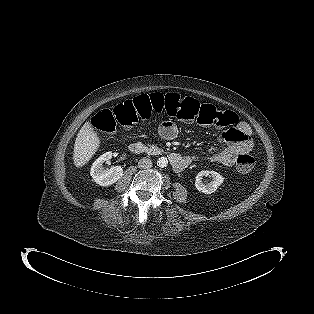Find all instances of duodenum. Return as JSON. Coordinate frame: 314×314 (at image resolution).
<instances>
[{
  "instance_id": "1",
  "label": "duodenum",
  "mask_w": 314,
  "mask_h": 314,
  "mask_svg": "<svg viewBox=\"0 0 314 314\" xmlns=\"http://www.w3.org/2000/svg\"><path fill=\"white\" fill-rule=\"evenodd\" d=\"M129 150L133 154H143L147 152V147L141 142L131 143ZM171 167L176 172H181L190 164V159L178 153L171 152L168 154Z\"/></svg>"
}]
</instances>
